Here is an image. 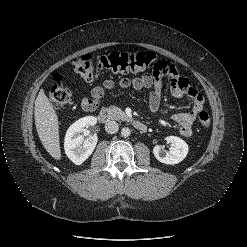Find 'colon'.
<instances>
[{
  "instance_id": "1",
  "label": "colon",
  "mask_w": 247,
  "mask_h": 247,
  "mask_svg": "<svg viewBox=\"0 0 247 247\" xmlns=\"http://www.w3.org/2000/svg\"><path fill=\"white\" fill-rule=\"evenodd\" d=\"M73 70L86 81H93L104 73H131L152 68L156 75L166 73L170 63L160 60L153 52L139 51L135 53L112 52L94 58L87 54L75 59ZM55 84L50 90V101L54 107L67 104L72 97L71 90L62 83L60 75L55 76ZM199 125L206 129L210 126L209 114L202 110L198 114Z\"/></svg>"
}]
</instances>
